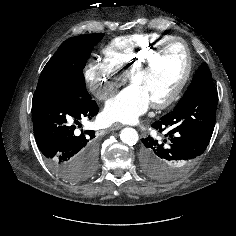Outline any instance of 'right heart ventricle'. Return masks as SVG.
<instances>
[{
	"instance_id": "obj_1",
	"label": "right heart ventricle",
	"mask_w": 236,
	"mask_h": 236,
	"mask_svg": "<svg viewBox=\"0 0 236 236\" xmlns=\"http://www.w3.org/2000/svg\"><path fill=\"white\" fill-rule=\"evenodd\" d=\"M172 38L170 34L160 33L121 36L109 42L103 53L113 67L127 76L159 44Z\"/></svg>"
}]
</instances>
